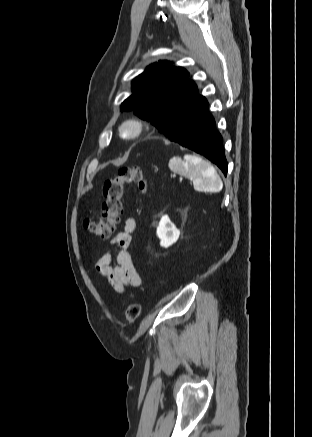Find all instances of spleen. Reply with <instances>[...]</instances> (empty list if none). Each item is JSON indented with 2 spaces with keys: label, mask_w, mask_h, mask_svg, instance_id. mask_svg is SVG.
Segmentation results:
<instances>
[{
  "label": "spleen",
  "mask_w": 312,
  "mask_h": 437,
  "mask_svg": "<svg viewBox=\"0 0 312 437\" xmlns=\"http://www.w3.org/2000/svg\"><path fill=\"white\" fill-rule=\"evenodd\" d=\"M169 168L192 179L194 186L208 192H219L223 183L215 168L202 158L185 155L182 160L173 157L169 161Z\"/></svg>",
  "instance_id": "3e777b00"
}]
</instances>
